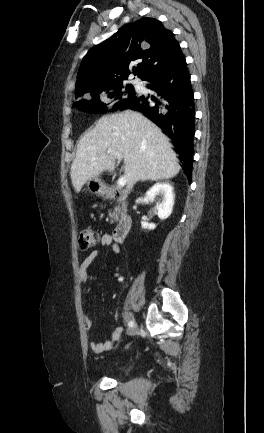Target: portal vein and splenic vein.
Listing matches in <instances>:
<instances>
[{
    "mask_svg": "<svg viewBox=\"0 0 264 433\" xmlns=\"http://www.w3.org/2000/svg\"><path fill=\"white\" fill-rule=\"evenodd\" d=\"M106 153H107V154H110V155L113 156L114 158H117L119 161H121L122 158H123V156H122V154H121L120 152H118V151H116V150H113V149H108V150L106 151ZM93 159H95V158H93ZM126 182H127V180H126L125 177H120L119 180H118V182H117V184H118V186H119L120 188H122V187H124V186L126 185Z\"/></svg>",
    "mask_w": 264,
    "mask_h": 433,
    "instance_id": "portal-vein-and-splenic-vein-1",
    "label": "portal vein and splenic vein"
}]
</instances>
